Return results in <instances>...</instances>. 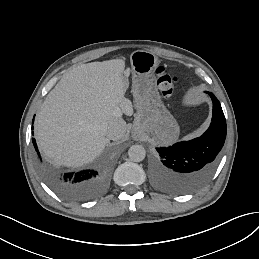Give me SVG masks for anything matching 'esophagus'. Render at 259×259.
Wrapping results in <instances>:
<instances>
[{"instance_id":"esophagus-1","label":"esophagus","mask_w":259,"mask_h":259,"mask_svg":"<svg viewBox=\"0 0 259 259\" xmlns=\"http://www.w3.org/2000/svg\"><path fill=\"white\" fill-rule=\"evenodd\" d=\"M132 138L136 141L141 140L142 133L139 128H134L132 131Z\"/></svg>"}]
</instances>
